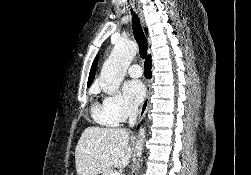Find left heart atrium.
Instances as JSON below:
<instances>
[{
    "label": "left heart atrium",
    "instance_id": "obj_1",
    "mask_svg": "<svg viewBox=\"0 0 251 175\" xmlns=\"http://www.w3.org/2000/svg\"><path fill=\"white\" fill-rule=\"evenodd\" d=\"M123 92L131 105H137L145 96V86L141 80L132 79L124 84Z\"/></svg>",
    "mask_w": 251,
    "mask_h": 175
}]
</instances>
